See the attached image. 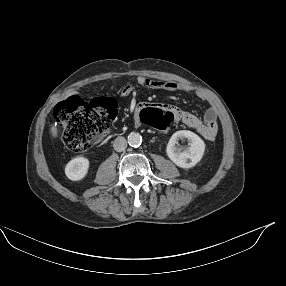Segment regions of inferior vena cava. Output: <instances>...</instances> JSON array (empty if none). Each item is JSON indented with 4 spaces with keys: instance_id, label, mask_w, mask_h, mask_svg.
I'll return each instance as SVG.
<instances>
[{
    "instance_id": "obj_1",
    "label": "inferior vena cava",
    "mask_w": 286,
    "mask_h": 286,
    "mask_svg": "<svg viewBox=\"0 0 286 286\" xmlns=\"http://www.w3.org/2000/svg\"><path fill=\"white\" fill-rule=\"evenodd\" d=\"M114 150L122 152L127 148V141L124 137H117L113 143Z\"/></svg>"
}]
</instances>
